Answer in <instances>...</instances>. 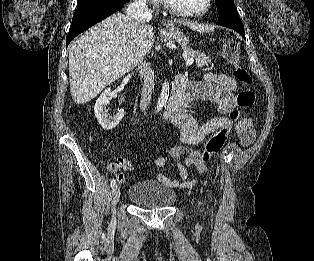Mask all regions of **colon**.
<instances>
[{
  "instance_id": "5ec220e1",
  "label": "colon",
  "mask_w": 314,
  "mask_h": 261,
  "mask_svg": "<svg viewBox=\"0 0 314 261\" xmlns=\"http://www.w3.org/2000/svg\"><path fill=\"white\" fill-rule=\"evenodd\" d=\"M223 55L228 64L233 67L234 77L243 88L237 95V108L230 113V121L219 128L206 142L203 151L199 155L200 163H207L214 154L222 149L235 125V121L240 119L241 111L251 108L255 102V94L251 87V74L240 61L239 43L232 38L226 39L224 41Z\"/></svg>"
}]
</instances>
